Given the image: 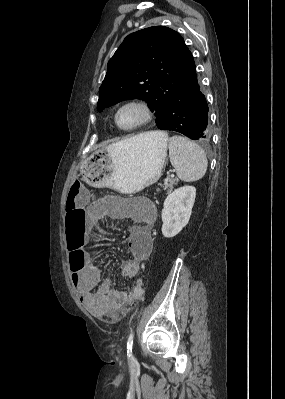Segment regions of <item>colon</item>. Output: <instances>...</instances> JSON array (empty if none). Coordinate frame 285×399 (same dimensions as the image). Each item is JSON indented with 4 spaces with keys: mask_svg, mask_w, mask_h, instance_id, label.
<instances>
[{
    "mask_svg": "<svg viewBox=\"0 0 285 399\" xmlns=\"http://www.w3.org/2000/svg\"><path fill=\"white\" fill-rule=\"evenodd\" d=\"M84 188L83 183L78 180L71 186L70 195L66 203L67 218L70 225H76L86 219V213L75 201V197L81 194ZM67 244L70 251V268L75 272L79 271L85 264V250L71 231L67 233ZM142 291V285L139 283L134 289V294L140 295ZM128 310L129 306L125 307L121 315H124Z\"/></svg>",
    "mask_w": 285,
    "mask_h": 399,
    "instance_id": "obj_1",
    "label": "colon"
}]
</instances>
